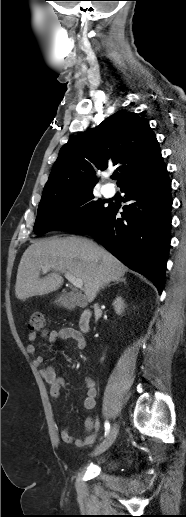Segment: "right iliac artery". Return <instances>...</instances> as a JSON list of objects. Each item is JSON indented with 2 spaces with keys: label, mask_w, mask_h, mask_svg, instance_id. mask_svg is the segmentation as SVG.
<instances>
[{
  "label": "right iliac artery",
  "mask_w": 186,
  "mask_h": 517,
  "mask_svg": "<svg viewBox=\"0 0 186 517\" xmlns=\"http://www.w3.org/2000/svg\"><path fill=\"white\" fill-rule=\"evenodd\" d=\"M105 434L107 435L110 431V423L108 421L105 422Z\"/></svg>",
  "instance_id": "obj_1"
}]
</instances>
